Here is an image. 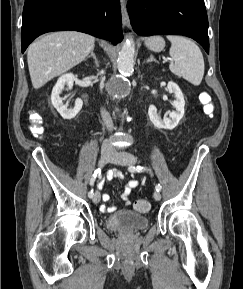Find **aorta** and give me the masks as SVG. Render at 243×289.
I'll use <instances>...</instances> for the list:
<instances>
[{
  "label": "aorta",
  "instance_id": "obj_1",
  "mask_svg": "<svg viewBox=\"0 0 243 289\" xmlns=\"http://www.w3.org/2000/svg\"><path fill=\"white\" fill-rule=\"evenodd\" d=\"M134 54L135 44L133 39L129 37L125 40L117 59V68L122 77H127L133 73ZM121 85L122 83L118 82L115 85V89H120Z\"/></svg>",
  "mask_w": 243,
  "mask_h": 289
}]
</instances>
